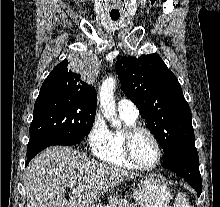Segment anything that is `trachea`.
Wrapping results in <instances>:
<instances>
[{
  "label": "trachea",
  "instance_id": "3493384b",
  "mask_svg": "<svg viewBox=\"0 0 220 207\" xmlns=\"http://www.w3.org/2000/svg\"><path fill=\"white\" fill-rule=\"evenodd\" d=\"M113 20H116L117 18H112Z\"/></svg>",
  "mask_w": 220,
  "mask_h": 207
}]
</instances>
